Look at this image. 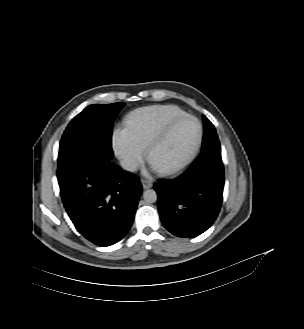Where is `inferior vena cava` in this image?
Instances as JSON below:
<instances>
[{"label":"inferior vena cava","instance_id":"inferior-vena-cava-1","mask_svg":"<svg viewBox=\"0 0 304 329\" xmlns=\"http://www.w3.org/2000/svg\"><path fill=\"white\" fill-rule=\"evenodd\" d=\"M120 166L122 169L127 170V171H135L137 168V164L135 161L131 159H122L120 161Z\"/></svg>","mask_w":304,"mask_h":329}]
</instances>
